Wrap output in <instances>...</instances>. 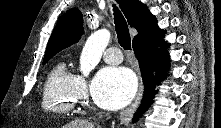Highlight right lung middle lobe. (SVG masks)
Listing matches in <instances>:
<instances>
[{
	"label": "right lung middle lobe",
	"instance_id": "obj_1",
	"mask_svg": "<svg viewBox=\"0 0 221 128\" xmlns=\"http://www.w3.org/2000/svg\"><path fill=\"white\" fill-rule=\"evenodd\" d=\"M52 56H53V55H51V56H45L44 59H43V64H45Z\"/></svg>",
	"mask_w": 221,
	"mask_h": 128
}]
</instances>
